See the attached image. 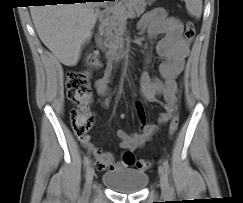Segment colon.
<instances>
[{
	"instance_id": "1",
	"label": "colon",
	"mask_w": 243,
	"mask_h": 203,
	"mask_svg": "<svg viewBox=\"0 0 243 203\" xmlns=\"http://www.w3.org/2000/svg\"><path fill=\"white\" fill-rule=\"evenodd\" d=\"M196 35V29L191 21L185 24L184 36L188 42L193 41ZM90 63L98 64L96 53L90 58ZM66 90L68 99L75 105L71 110V124L74 134L79 137H85L91 129L94 122V115L89 110L88 104L91 99L90 73L87 70L76 69L71 70L66 78ZM179 126L178 116H174L169 125L170 135H174ZM124 162L131 164L133 156L127 152L124 155ZM137 169L141 171L148 170L151 163L148 160L140 159L136 162Z\"/></svg>"
}]
</instances>
